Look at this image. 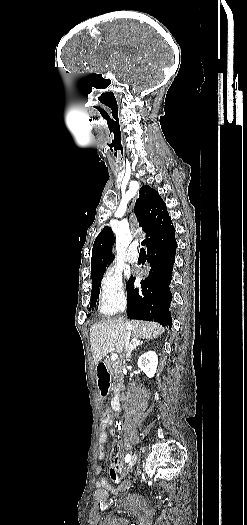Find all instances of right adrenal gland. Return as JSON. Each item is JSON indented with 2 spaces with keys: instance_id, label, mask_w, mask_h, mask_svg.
Masks as SVG:
<instances>
[{
  "instance_id": "right-adrenal-gland-1",
  "label": "right adrenal gland",
  "mask_w": 247,
  "mask_h": 525,
  "mask_svg": "<svg viewBox=\"0 0 247 525\" xmlns=\"http://www.w3.org/2000/svg\"><path fill=\"white\" fill-rule=\"evenodd\" d=\"M142 343H143V341H139V339H137V337H133V339H131V341H130L128 357H129V355H131V353H133V351H136L137 347H140V345H142Z\"/></svg>"
}]
</instances>
